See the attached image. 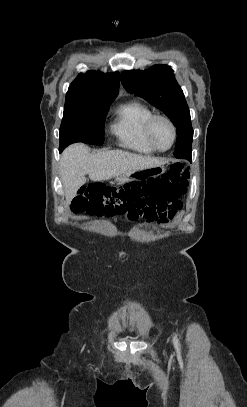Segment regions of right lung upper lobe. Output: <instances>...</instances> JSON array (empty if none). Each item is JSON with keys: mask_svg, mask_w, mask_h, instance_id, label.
<instances>
[{"mask_svg": "<svg viewBox=\"0 0 247 407\" xmlns=\"http://www.w3.org/2000/svg\"><path fill=\"white\" fill-rule=\"evenodd\" d=\"M119 73L88 71L80 74L66 93L65 104L113 101L118 95Z\"/></svg>", "mask_w": 247, "mask_h": 407, "instance_id": "1", "label": "right lung upper lobe"}]
</instances>
